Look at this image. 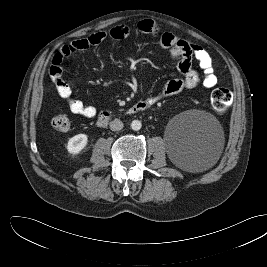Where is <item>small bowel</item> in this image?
I'll use <instances>...</instances> for the list:
<instances>
[{
  "mask_svg": "<svg viewBox=\"0 0 267 267\" xmlns=\"http://www.w3.org/2000/svg\"><path fill=\"white\" fill-rule=\"evenodd\" d=\"M136 31L144 34H151L158 37L160 46L167 50L170 57L177 61L180 76L167 82L158 96L145 99L151 105L160 98L178 94L184 90L192 89L202 85L206 89L213 88L217 84V77L214 73V66L209 53L201 46L187 40L178 38L171 33H160L156 23L150 19L138 22ZM131 29L126 25H116L108 31H99L86 38H81L64 45L53 57L50 68V78L58 95L64 99L69 110L77 115L92 118L96 114V108L86 105L83 101L72 97V88L63 78V66L65 59L70 55L96 46L107 38L124 40L129 37ZM193 61L198 63L199 70L193 68Z\"/></svg>",
  "mask_w": 267,
  "mask_h": 267,
  "instance_id": "obj_1",
  "label": "small bowel"
}]
</instances>
